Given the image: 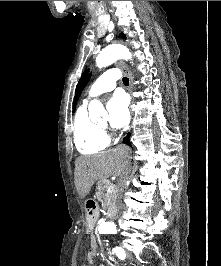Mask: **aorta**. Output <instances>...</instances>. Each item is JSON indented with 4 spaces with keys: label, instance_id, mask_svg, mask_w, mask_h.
Segmentation results:
<instances>
[{
    "label": "aorta",
    "instance_id": "aorta-1",
    "mask_svg": "<svg viewBox=\"0 0 221 266\" xmlns=\"http://www.w3.org/2000/svg\"><path fill=\"white\" fill-rule=\"evenodd\" d=\"M119 59H131L130 51L123 45L112 44L102 49L96 57V65L103 68L111 65ZM103 105L97 101L92 100L89 104V116L91 119H97L100 115H105ZM99 230L105 233L117 232L116 225L112 222H104L99 226Z\"/></svg>",
    "mask_w": 221,
    "mask_h": 266
}]
</instances>
